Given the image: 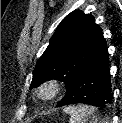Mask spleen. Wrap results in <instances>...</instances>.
Wrapping results in <instances>:
<instances>
[{"mask_svg":"<svg viewBox=\"0 0 122 123\" xmlns=\"http://www.w3.org/2000/svg\"><path fill=\"white\" fill-rule=\"evenodd\" d=\"M64 112L70 115V123H98L96 108L86 105L68 106Z\"/></svg>","mask_w":122,"mask_h":123,"instance_id":"3e777b00","label":"spleen"}]
</instances>
